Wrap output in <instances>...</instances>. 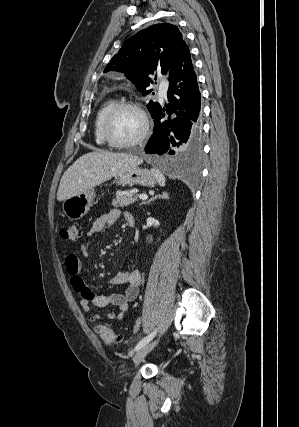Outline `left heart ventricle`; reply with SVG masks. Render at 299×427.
Segmentation results:
<instances>
[{"label": "left heart ventricle", "mask_w": 299, "mask_h": 427, "mask_svg": "<svg viewBox=\"0 0 299 427\" xmlns=\"http://www.w3.org/2000/svg\"><path fill=\"white\" fill-rule=\"evenodd\" d=\"M143 122L133 109H122L113 118L111 131L118 141H131L142 131Z\"/></svg>", "instance_id": "left-heart-ventricle-1"}]
</instances>
